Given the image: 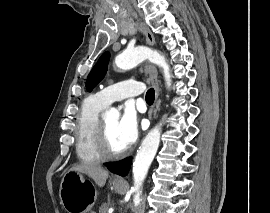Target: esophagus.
Returning <instances> with one entry per match:
<instances>
[{
  "label": "esophagus",
  "mask_w": 270,
  "mask_h": 213,
  "mask_svg": "<svg viewBox=\"0 0 270 213\" xmlns=\"http://www.w3.org/2000/svg\"><path fill=\"white\" fill-rule=\"evenodd\" d=\"M140 26L144 32V35L146 37V41H147L148 45L153 46L155 44V38H154L153 33L151 32V30L149 29V27L145 23L141 22ZM147 68L149 71L150 80H151L153 87L155 89V102L149 110V119L151 120L153 117V114L156 112V106L158 104L160 87H159L158 72H157L156 67L154 65H148ZM115 181L124 183V179H122L120 177H115Z\"/></svg>",
  "instance_id": "34e87169"
}]
</instances>
